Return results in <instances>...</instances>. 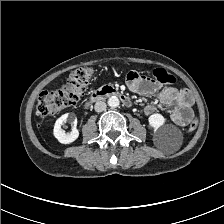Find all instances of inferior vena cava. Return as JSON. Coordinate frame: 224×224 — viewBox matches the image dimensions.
<instances>
[{
  "mask_svg": "<svg viewBox=\"0 0 224 224\" xmlns=\"http://www.w3.org/2000/svg\"><path fill=\"white\" fill-rule=\"evenodd\" d=\"M106 107H107V105L105 102L98 101L95 103L94 109L96 112H102V111L106 110Z\"/></svg>",
  "mask_w": 224,
  "mask_h": 224,
  "instance_id": "602c4592",
  "label": "inferior vena cava"
}]
</instances>
